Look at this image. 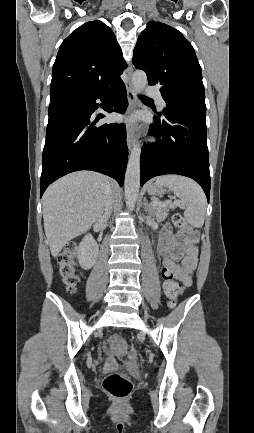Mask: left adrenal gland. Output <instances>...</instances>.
<instances>
[{
  "mask_svg": "<svg viewBox=\"0 0 254 433\" xmlns=\"http://www.w3.org/2000/svg\"><path fill=\"white\" fill-rule=\"evenodd\" d=\"M143 207H144L145 211L149 212L150 214L152 213V208H151L150 204L148 203L146 197H144Z\"/></svg>",
  "mask_w": 254,
  "mask_h": 433,
  "instance_id": "obj_1",
  "label": "left adrenal gland"
}]
</instances>
